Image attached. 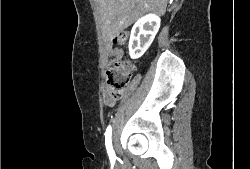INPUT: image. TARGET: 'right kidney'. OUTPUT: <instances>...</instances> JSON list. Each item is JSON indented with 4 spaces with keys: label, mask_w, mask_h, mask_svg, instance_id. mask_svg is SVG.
Wrapping results in <instances>:
<instances>
[{
    "label": "right kidney",
    "mask_w": 250,
    "mask_h": 169,
    "mask_svg": "<svg viewBox=\"0 0 250 169\" xmlns=\"http://www.w3.org/2000/svg\"><path fill=\"white\" fill-rule=\"evenodd\" d=\"M161 18L158 14H145L132 26L129 38V54L131 58H139L149 48L160 28Z\"/></svg>",
    "instance_id": "right-kidney-1"
}]
</instances>
